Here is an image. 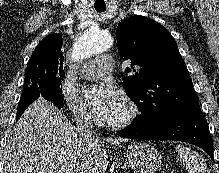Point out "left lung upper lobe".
Returning a JSON list of instances; mask_svg holds the SVG:
<instances>
[{"label": "left lung upper lobe", "instance_id": "5c2ea615", "mask_svg": "<svg viewBox=\"0 0 219 173\" xmlns=\"http://www.w3.org/2000/svg\"><path fill=\"white\" fill-rule=\"evenodd\" d=\"M118 51L131 60L133 75L123 88L141 111L133 122L152 125L175 111L199 105L186 64L169 31L143 16L122 20L116 29Z\"/></svg>", "mask_w": 219, "mask_h": 173}]
</instances>
